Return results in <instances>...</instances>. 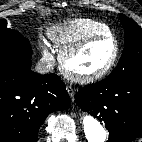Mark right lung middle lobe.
<instances>
[{
  "mask_svg": "<svg viewBox=\"0 0 142 142\" xmlns=\"http://www.w3.org/2000/svg\"><path fill=\"white\" fill-rule=\"evenodd\" d=\"M31 57L29 40L18 31L7 28V21L0 19V65L16 64L30 68Z\"/></svg>",
  "mask_w": 142,
  "mask_h": 142,
  "instance_id": "dd1d6c3e",
  "label": "right lung middle lobe"
}]
</instances>
